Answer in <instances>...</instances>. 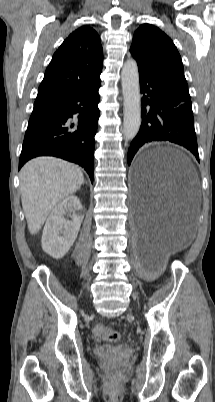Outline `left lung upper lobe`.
<instances>
[{
    "label": "left lung upper lobe",
    "instance_id": "left-lung-upper-lobe-1",
    "mask_svg": "<svg viewBox=\"0 0 215 402\" xmlns=\"http://www.w3.org/2000/svg\"><path fill=\"white\" fill-rule=\"evenodd\" d=\"M130 52L139 71L163 80L190 98L180 54L173 41L158 27L140 25L133 35Z\"/></svg>",
    "mask_w": 215,
    "mask_h": 402
}]
</instances>
